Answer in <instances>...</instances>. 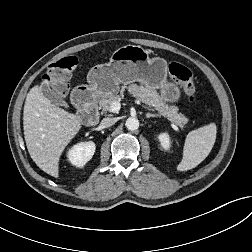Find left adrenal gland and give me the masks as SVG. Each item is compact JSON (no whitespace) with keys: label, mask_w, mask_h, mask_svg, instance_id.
I'll list each match as a JSON object with an SVG mask.
<instances>
[{"label":"left adrenal gland","mask_w":252,"mask_h":252,"mask_svg":"<svg viewBox=\"0 0 252 252\" xmlns=\"http://www.w3.org/2000/svg\"><path fill=\"white\" fill-rule=\"evenodd\" d=\"M155 117H158V115H156V114H151V113H147V114H146V118H155Z\"/></svg>","instance_id":"1"}]
</instances>
